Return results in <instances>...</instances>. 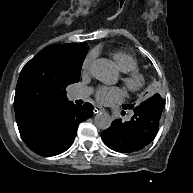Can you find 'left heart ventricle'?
I'll return each mask as SVG.
<instances>
[{
    "label": "left heart ventricle",
    "instance_id": "1",
    "mask_svg": "<svg viewBox=\"0 0 193 193\" xmlns=\"http://www.w3.org/2000/svg\"><path fill=\"white\" fill-rule=\"evenodd\" d=\"M108 83H109V84H112V83H113V81L109 80V81H108Z\"/></svg>",
    "mask_w": 193,
    "mask_h": 193
}]
</instances>
